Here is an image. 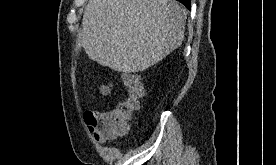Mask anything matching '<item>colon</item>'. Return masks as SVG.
<instances>
[{"mask_svg":"<svg viewBox=\"0 0 276 165\" xmlns=\"http://www.w3.org/2000/svg\"><path fill=\"white\" fill-rule=\"evenodd\" d=\"M127 98L107 112L88 111L85 121L90 131L97 139H107L124 133L136 111L139 110L145 91L141 79L135 74H129L124 81ZM102 94L110 92V86L101 87Z\"/></svg>","mask_w":276,"mask_h":165,"instance_id":"obj_1","label":"colon"}]
</instances>
